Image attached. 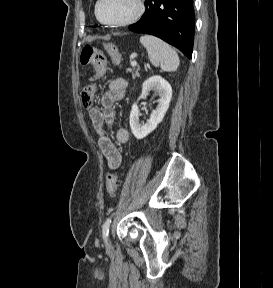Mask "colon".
Listing matches in <instances>:
<instances>
[{
    "instance_id": "colon-1",
    "label": "colon",
    "mask_w": 273,
    "mask_h": 288,
    "mask_svg": "<svg viewBox=\"0 0 273 288\" xmlns=\"http://www.w3.org/2000/svg\"><path fill=\"white\" fill-rule=\"evenodd\" d=\"M107 53L111 57L113 63L119 64L121 61V53L118 48L108 43L105 46ZM80 62L83 65H91L94 69V76L99 78L104 75L107 59L104 52L98 48L86 45L80 53ZM94 87L92 85L86 86L81 93L82 104L86 108H90L93 103ZM120 186V180L117 174H109L106 179V192L109 196L116 195Z\"/></svg>"
}]
</instances>
